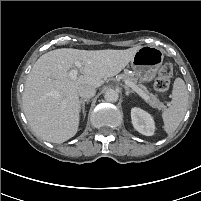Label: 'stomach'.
<instances>
[{"instance_id": "1", "label": "stomach", "mask_w": 201, "mask_h": 201, "mask_svg": "<svg viewBox=\"0 0 201 201\" xmlns=\"http://www.w3.org/2000/svg\"><path fill=\"white\" fill-rule=\"evenodd\" d=\"M162 51L155 47L143 46L133 56L131 68L141 82L151 81L163 63Z\"/></svg>"}]
</instances>
